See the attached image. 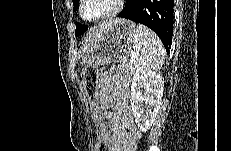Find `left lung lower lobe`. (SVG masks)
<instances>
[{
  "label": "left lung lower lobe",
  "instance_id": "obj_1",
  "mask_svg": "<svg viewBox=\"0 0 231 151\" xmlns=\"http://www.w3.org/2000/svg\"><path fill=\"white\" fill-rule=\"evenodd\" d=\"M174 0H135L118 17L132 20L152 29L169 52L173 35Z\"/></svg>",
  "mask_w": 231,
  "mask_h": 151
}]
</instances>
